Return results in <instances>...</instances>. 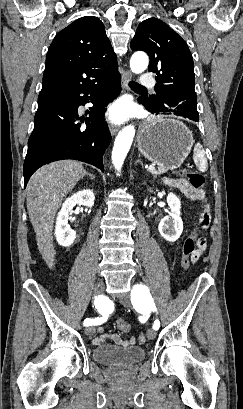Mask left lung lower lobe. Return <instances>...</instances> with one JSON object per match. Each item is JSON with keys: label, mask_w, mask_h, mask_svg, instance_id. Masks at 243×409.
<instances>
[{"label": "left lung lower lobe", "mask_w": 243, "mask_h": 409, "mask_svg": "<svg viewBox=\"0 0 243 409\" xmlns=\"http://www.w3.org/2000/svg\"><path fill=\"white\" fill-rule=\"evenodd\" d=\"M139 102L142 103L152 114L157 115L160 112H166L168 114L189 118L193 121L199 120L197 108H195L194 104L189 102L179 104V101L171 100L169 98H163L160 102L155 104L151 103L145 98H139Z\"/></svg>", "instance_id": "1"}]
</instances>
